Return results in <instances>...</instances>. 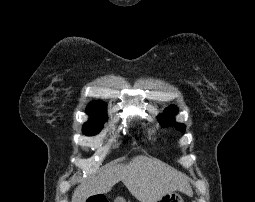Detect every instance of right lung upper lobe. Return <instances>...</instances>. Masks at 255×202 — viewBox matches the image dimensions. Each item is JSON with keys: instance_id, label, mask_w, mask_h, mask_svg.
I'll use <instances>...</instances> for the list:
<instances>
[{"instance_id": "obj_1", "label": "right lung upper lobe", "mask_w": 255, "mask_h": 202, "mask_svg": "<svg viewBox=\"0 0 255 202\" xmlns=\"http://www.w3.org/2000/svg\"><path fill=\"white\" fill-rule=\"evenodd\" d=\"M90 120L106 119V104L102 101H93L86 108Z\"/></svg>"}]
</instances>
